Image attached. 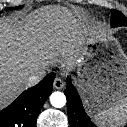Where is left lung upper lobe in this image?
Returning <instances> with one entry per match:
<instances>
[{
	"instance_id": "left-lung-upper-lobe-1",
	"label": "left lung upper lobe",
	"mask_w": 127,
	"mask_h": 127,
	"mask_svg": "<svg viewBox=\"0 0 127 127\" xmlns=\"http://www.w3.org/2000/svg\"><path fill=\"white\" fill-rule=\"evenodd\" d=\"M112 17H111V26H127V18L119 11L115 9H111Z\"/></svg>"
}]
</instances>
